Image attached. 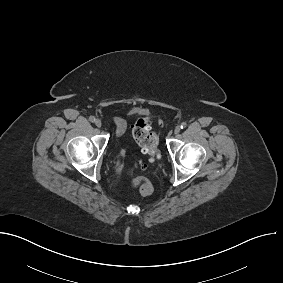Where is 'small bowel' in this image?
Wrapping results in <instances>:
<instances>
[{"instance_id":"obj_1","label":"small bowel","mask_w":283,"mask_h":283,"mask_svg":"<svg viewBox=\"0 0 283 283\" xmlns=\"http://www.w3.org/2000/svg\"><path fill=\"white\" fill-rule=\"evenodd\" d=\"M114 123L116 126V135L122 136L125 133L126 128H127L126 121L121 117H116L114 119Z\"/></svg>"}]
</instances>
